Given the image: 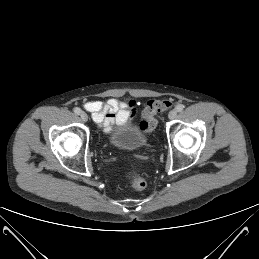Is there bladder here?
<instances>
[{"mask_svg": "<svg viewBox=\"0 0 259 259\" xmlns=\"http://www.w3.org/2000/svg\"><path fill=\"white\" fill-rule=\"evenodd\" d=\"M109 141L116 147L136 150L146 145L147 139L142 130L132 122L116 127L109 135Z\"/></svg>", "mask_w": 259, "mask_h": 259, "instance_id": "1", "label": "bladder"}]
</instances>
